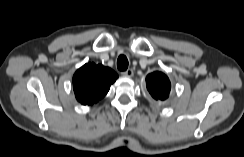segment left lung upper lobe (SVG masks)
Returning a JSON list of instances; mask_svg holds the SVG:
<instances>
[{
  "mask_svg": "<svg viewBox=\"0 0 244 157\" xmlns=\"http://www.w3.org/2000/svg\"><path fill=\"white\" fill-rule=\"evenodd\" d=\"M147 89L156 100H165L169 96L171 83L162 72H153L146 77Z\"/></svg>",
  "mask_w": 244,
  "mask_h": 157,
  "instance_id": "left-lung-upper-lobe-1",
  "label": "left lung upper lobe"
}]
</instances>
